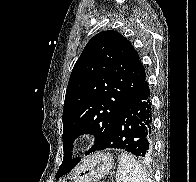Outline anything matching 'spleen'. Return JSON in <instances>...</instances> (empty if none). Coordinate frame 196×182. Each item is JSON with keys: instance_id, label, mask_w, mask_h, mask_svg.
Returning a JSON list of instances; mask_svg holds the SVG:
<instances>
[{"instance_id": "3e777b00", "label": "spleen", "mask_w": 196, "mask_h": 182, "mask_svg": "<svg viewBox=\"0 0 196 182\" xmlns=\"http://www.w3.org/2000/svg\"><path fill=\"white\" fill-rule=\"evenodd\" d=\"M117 182H151L144 167L128 153H121L118 157Z\"/></svg>"}]
</instances>
